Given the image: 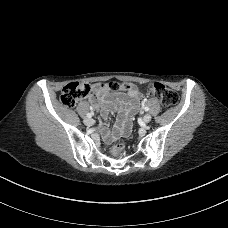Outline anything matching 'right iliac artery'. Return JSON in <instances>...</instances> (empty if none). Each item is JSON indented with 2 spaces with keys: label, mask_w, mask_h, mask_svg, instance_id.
<instances>
[{
  "label": "right iliac artery",
  "mask_w": 228,
  "mask_h": 228,
  "mask_svg": "<svg viewBox=\"0 0 228 228\" xmlns=\"http://www.w3.org/2000/svg\"><path fill=\"white\" fill-rule=\"evenodd\" d=\"M92 115H93L92 113H87V117H88V118H91Z\"/></svg>",
  "instance_id": "right-iliac-artery-1"
}]
</instances>
